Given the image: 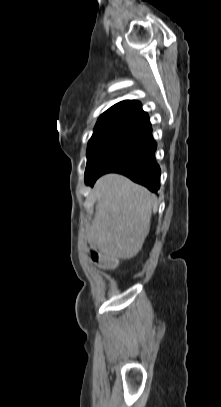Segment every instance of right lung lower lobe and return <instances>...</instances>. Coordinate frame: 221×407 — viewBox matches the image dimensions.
Returning <instances> with one entry per match:
<instances>
[{"label": "right lung lower lobe", "mask_w": 221, "mask_h": 407, "mask_svg": "<svg viewBox=\"0 0 221 407\" xmlns=\"http://www.w3.org/2000/svg\"><path fill=\"white\" fill-rule=\"evenodd\" d=\"M156 147L149 122L131 135L86 184L93 186L99 176L116 172L157 193L161 170L155 159Z\"/></svg>", "instance_id": "1"}]
</instances>
